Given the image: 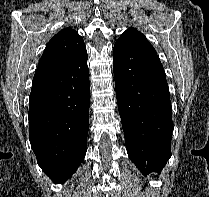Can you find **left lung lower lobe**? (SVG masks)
Returning a JSON list of instances; mask_svg holds the SVG:
<instances>
[{
  "instance_id": "0a47b994",
  "label": "left lung lower lobe",
  "mask_w": 209,
  "mask_h": 197,
  "mask_svg": "<svg viewBox=\"0 0 209 197\" xmlns=\"http://www.w3.org/2000/svg\"><path fill=\"white\" fill-rule=\"evenodd\" d=\"M113 70L127 153L143 175L162 170L171 156L169 87L156 52L115 43Z\"/></svg>"
}]
</instances>
